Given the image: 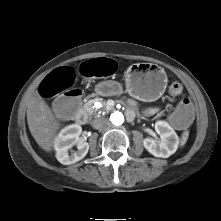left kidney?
Here are the masks:
<instances>
[{
  "label": "left kidney",
  "instance_id": "obj_1",
  "mask_svg": "<svg viewBox=\"0 0 221 221\" xmlns=\"http://www.w3.org/2000/svg\"><path fill=\"white\" fill-rule=\"evenodd\" d=\"M155 131L160 135V141L145 138V149L155 157L168 158L174 154L179 145V138L174 129L166 121H157Z\"/></svg>",
  "mask_w": 221,
  "mask_h": 221
}]
</instances>
